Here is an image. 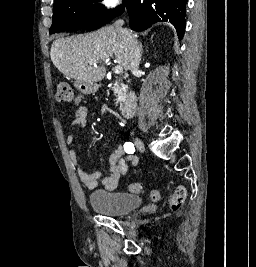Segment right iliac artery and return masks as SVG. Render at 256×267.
<instances>
[{"mask_svg":"<svg viewBox=\"0 0 256 267\" xmlns=\"http://www.w3.org/2000/svg\"><path fill=\"white\" fill-rule=\"evenodd\" d=\"M124 150H125V152L128 153V154H133V153L135 152V148H134L133 143H131V142H126V143L124 144Z\"/></svg>","mask_w":256,"mask_h":267,"instance_id":"1","label":"right iliac artery"}]
</instances>
